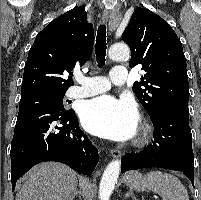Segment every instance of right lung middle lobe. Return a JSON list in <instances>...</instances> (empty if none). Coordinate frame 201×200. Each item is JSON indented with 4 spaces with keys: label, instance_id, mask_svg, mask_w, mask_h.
Here are the masks:
<instances>
[{
    "label": "right lung middle lobe",
    "instance_id": "right-lung-middle-lobe-1",
    "mask_svg": "<svg viewBox=\"0 0 201 200\" xmlns=\"http://www.w3.org/2000/svg\"><path fill=\"white\" fill-rule=\"evenodd\" d=\"M65 93L44 92L22 95L19 103V111L35 106H50L56 109L65 110L63 98Z\"/></svg>",
    "mask_w": 201,
    "mask_h": 200
}]
</instances>
